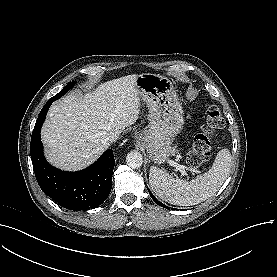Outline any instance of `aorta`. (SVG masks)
I'll use <instances>...</instances> for the list:
<instances>
[{"label":"aorta","mask_w":277,"mask_h":277,"mask_svg":"<svg viewBox=\"0 0 277 277\" xmlns=\"http://www.w3.org/2000/svg\"><path fill=\"white\" fill-rule=\"evenodd\" d=\"M126 164L132 169H138L143 164V156L140 152L133 150L126 156Z\"/></svg>","instance_id":"aorta-1"}]
</instances>
